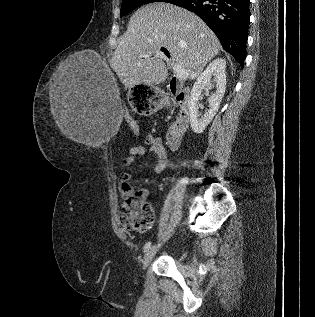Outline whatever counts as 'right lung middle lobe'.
I'll use <instances>...</instances> for the list:
<instances>
[{
  "mask_svg": "<svg viewBox=\"0 0 315 317\" xmlns=\"http://www.w3.org/2000/svg\"><path fill=\"white\" fill-rule=\"evenodd\" d=\"M177 0H122L121 6V14L120 16H124L128 14L133 9L148 3L153 2H167V3H174Z\"/></svg>",
  "mask_w": 315,
  "mask_h": 317,
  "instance_id": "1",
  "label": "right lung middle lobe"
}]
</instances>
